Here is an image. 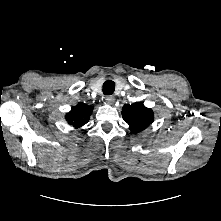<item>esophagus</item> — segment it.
Instances as JSON below:
<instances>
[{
    "instance_id": "34e87169",
    "label": "esophagus",
    "mask_w": 221,
    "mask_h": 221,
    "mask_svg": "<svg viewBox=\"0 0 221 221\" xmlns=\"http://www.w3.org/2000/svg\"><path fill=\"white\" fill-rule=\"evenodd\" d=\"M105 100H106L107 104H109V105H112L115 102V98L113 96H107L105 98Z\"/></svg>"
}]
</instances>
